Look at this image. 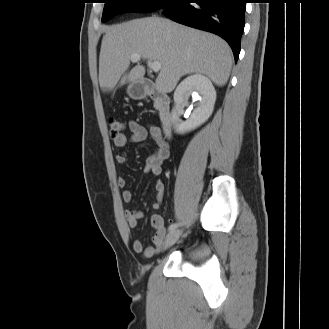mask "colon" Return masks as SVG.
<instances>
[{"mask_svg": "<svg viewBox=\"0 0 329 329\" xmlns=\"http://www.w3.org/2000/svg\"><path fill=\"white\" fill-rule=\"evenodd\" d=\"M108 126H109L110 135L112 137L120 136L125 131V124H124V122L122 120L116 118V117H111L108 120Z\"/></svg>", "mask_w": 329, "mask_h": 329, "instance_id": "colon-1", "label": "colon"}]
</instances>
